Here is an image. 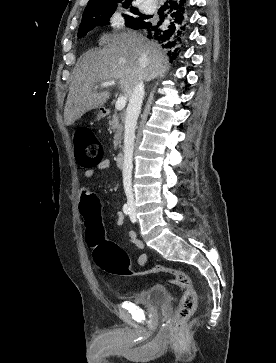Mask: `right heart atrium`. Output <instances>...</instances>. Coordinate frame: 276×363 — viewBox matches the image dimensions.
<instances>
[{"label":"right heart atrium","mask_w":276,"mask_h":363,"mask_svg":"<svg viewBox=\"0 0 276 363\" xmlns=\"http://www.w3.org/2000/svg\"><path fill=\"white\" fill-rule=\"evenodd\" d=\"M112 21L114 24L119 25L121 23V17L119 15H115Z\"/></svg>","instance_id":"d8ad5b80"}]
</instances>
